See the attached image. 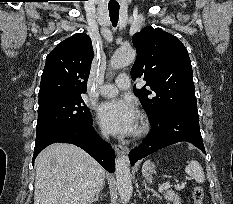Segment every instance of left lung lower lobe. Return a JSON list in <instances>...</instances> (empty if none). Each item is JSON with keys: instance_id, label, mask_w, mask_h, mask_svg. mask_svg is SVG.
<instances>
[{"instance_id": "1", "label": "left lung lower lobe", "mask_w": 233, "mask_h": 204, "mask_svg": "<svg viewBox=\"0 0 233 204\" xmlns=\"http://www.w3.org/2000/svg\"><path fill=\"white\" fill-rule=\"evenodd\" d=\"M150 123V134L140 147L129 153L131 165L159 149L182 141L192 143L205 153L198 114L168 112L151 118Z\"/></svg>"}]
</instances>
